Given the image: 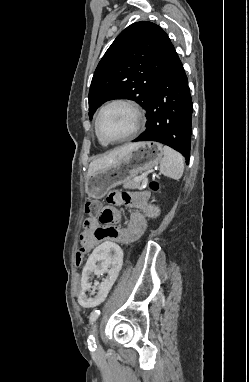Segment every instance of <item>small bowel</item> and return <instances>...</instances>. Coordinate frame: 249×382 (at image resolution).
Returning <instances> with one entry per match:
<instances>
[{"mask_svg": "<svg viewBox=\"0 0 249 382\" xmlns=\"http://www.w3.org/2000/svg\"><path fill=\"white\" fill-rule=\"evenodd\" d=\"M149 199L150 197L146 193L111 192L107 197L111 206L104 208L99 215L90 216L84 220L83 231L79 236L80 250L83 253L91 249L95 250V245L102 240L129 243L139 239L147 228V217L155 212ZM119 206L133 209L128 216L125 228L118 227L121 215L116 207Z\"/></svg>", "mask_w": 249, "mask_h": 382, "instance_id": "1", "label": "small bowel"}]
</instances>
